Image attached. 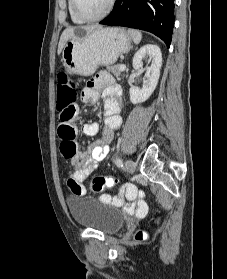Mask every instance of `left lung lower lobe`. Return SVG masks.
Listing matches in <instances>:
<instances>
[{"label":"left lung lower lobe","mask_w":227,"mask_h":279,"mask_svg":"<svg viewBox=\"0 0 227 279\" xmlns=\"http://www.w3.org/2000/svg\"><path fill=\"white\" fill-rule=\"evenodd\" d=\"M174 0H116L100 24L149 31L170 46L174 27Z\"/></svg>","instance_id":"1"}]
</instances>
